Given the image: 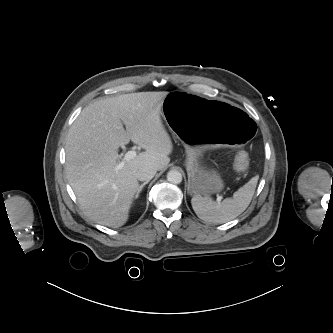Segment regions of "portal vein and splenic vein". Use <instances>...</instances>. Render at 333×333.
I'll return each instance as SVG.
<instances>
[{"mask_svg":"<svg viewBox=\"0 0 333 333\" xmlns=\"http://www.w3.org/2000/svg\"><path fill=\"white\" fill-rule=\"evenodd\" d=\"M136 156H137V153H136L135 150H130V151H128V152L124 155L122 161L118 164L117 167H118V168H122V167L124 166L125 162L134 159ZM221 199H222V197H218V198H217L218 202H220Z\"/></svg>","mask_w":333,"mask_h":333,"instance_id":"1","label":"portal vein and splenic vein"}]
</instances>
